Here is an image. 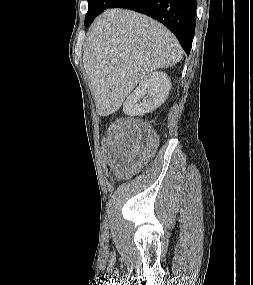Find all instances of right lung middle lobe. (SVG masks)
Instances as JSON below:
<instances>
[{
    "label": "right lung middle lobe",
    "instance_id": "dd1d6c3e",
    "mask_svg": "<svg viewBox=\"0 0 253 285\" xmlns=\"http://www.w3.org/2000/svg\"><path fill=\"white\" fill-rule=\"evenodd\" d=\"M113 1L114 0H88V12L85 16V26H89Z\"/></svg>",
    "mask_w": 253,
    "mask_h": 285
}]
</instances>
